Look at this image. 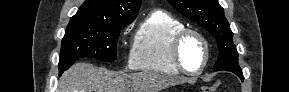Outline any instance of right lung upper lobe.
Returning a JSON list of instances; mask_svg holds the SVG:
<instances>
[{"label": "right lung upper lobe", "mask_w": 289, "mask_h": 92, "mask_svg": "<svg viewBox=\"0 0 289 92\" xmlns=\"http://www.w3.org/2000/svg\"><path fill=\"white\" fill-rule=\"evenodd\" d=\"M141 0H86L69 24L119 25L136 18Z\"/></svg>", "instance_id": "right-lung-upper-lobe-1"}]
</instances>
